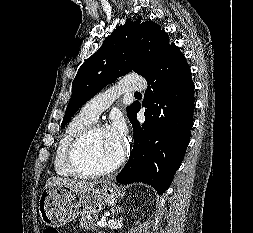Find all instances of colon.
<instances>
[{
    "instance_id": "obj_1",
    "label": "colon",
    "mask_w": 253,
    "mask_h": 233,
    "mask_svg": "<svg viewBox=\"0 0 253 233\" xmlns=\"http://www.w3.org/2000/svg\"><path fill=\"white\" fill-rule=\"evenodd\" d=\"M43 233H59V231L54 227H47L44 229Z\"/></svg>"
}]
</instances>
